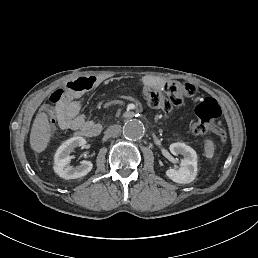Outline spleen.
Segmentation results:
<instances>
[{"mask_svg": "<svg viewBox=\"0 0 258 258\" xmlns=\"http://www.w3.org/2000/svg\"><path fill=\"white\" fill-rule=\"evenodd\" d=\"M205 151H206L207 157H212L213 156L214 149H213V145H212L211 141H207Z\"/></svg>", "mask_w": 258, "mask_h": 258, "instance_id": "1", "label": "spleen"}]
</instances>
